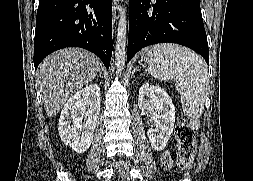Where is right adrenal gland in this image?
Here are the masks:
<instances>
[{
  "label": "right adrenal gland",
  "mask_w": 253,
  "mask_h": 181,
  "mask_svg": "<svg viewBox=\"0 0 253 181\" xmlns=\"http://www.w3.org/2000/svg\"><path fill=\"white\" fill-rule=\"evenodd\" d=\"M98 76H100V77H101V70H99V72H98Z\"/></svg>",
  "instance_id": "1"
}]
</instances>
